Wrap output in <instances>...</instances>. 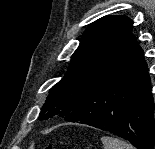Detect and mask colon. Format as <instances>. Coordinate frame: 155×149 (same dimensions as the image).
I'll use <instances>...</instances> for the list:
<instances>
[{
	"label": "colon",
	"instance_id": "5ec220e1",
	"mask_svg": "<svg viewBox=\"0 0 155 149\" xmlns=\"http://www.w3.org/2000/svg\"><path fill=\"white\" fill-rule=\"evenodd\" d=\"M45 149H53V146L51 144H47Z\"/></svg>",
	"mask_w": 155,
	"mask_h": 149
}]
</instances>
